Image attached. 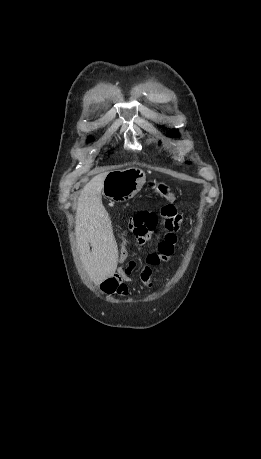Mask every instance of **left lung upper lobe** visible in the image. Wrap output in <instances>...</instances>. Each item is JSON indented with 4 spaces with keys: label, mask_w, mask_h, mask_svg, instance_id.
Instances as JSON below:
<instances>
[{
    "label": "left lung upper lobe",
    "mask_w": 261,
    "mask_h": 459,
    "mask_svg": "<svg viewBox=\"0 0 261 459\" xmlns=\"http://www.w3.org/2000/svg\"><path fill=\"white\" fill-rule=\"evenodd\" d=\"M168 136H171V137L177 136V131L172 129L171 131H169Z\"/></svg>",
    "instance_id": "1"
}]
</instances>
